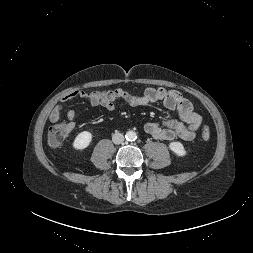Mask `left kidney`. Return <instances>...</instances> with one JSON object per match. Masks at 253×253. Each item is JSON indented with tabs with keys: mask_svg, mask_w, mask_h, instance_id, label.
I'll use <instances>...</instances> for the list:
<instances>
[{
	"mask_svg": "<svg viewBox=\"0 0 253 253\" xmlns=\"http://www.w3.org/2000/svg\"><path fill=\"white\" fill-rule=\"evenodd\" d=\"M169 148L173 151L177 156H185L187 154L183 144L181 142H171L169 144Z\"/></svg>",
	"mask_w": 253,
	"mask_h": 253,
	"instance_id": "left-kidney-1",
	"label": "left kidney"
}]
</instances>
